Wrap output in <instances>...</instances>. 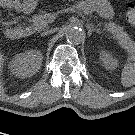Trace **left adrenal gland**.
<instances>
[{
	"label": "left adrenal gland",
	"mask_w": 135,
	"mask_h": 135,
	"mask_svg": "<svg viewBox=\"0 0 135 135\" xmlns=\"http://www.w3.org/2000/svg\"><path fill=\"white\" fill-rule=\"evenodd\" d=\"M86 28L88 29V37L91 36L92 32L96 31L97 33H101L99 29H95L91 27L89 24H86Z\"/></svg>",
	"instance_id": "a2214340"
}]
</instances>
